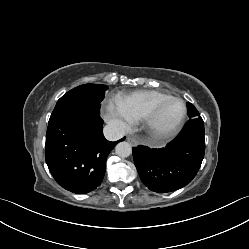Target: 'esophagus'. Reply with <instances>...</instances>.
Masks as SVG:
<instances>
[{
  "instance_id": "1",
  "label": "esophagus",
  "mask_w": 249,
  "mask_h": 249,
  "mask_svg": "<svg viewBox=\"0 0 249 249\" xmlns=\"http://www.w3.org/2000/svg\"><path fill=\"white\" fill-rule=\"evenodd\" d=\"M130 144H132L133 146H137L138 145V141L132 137H127L126 139Z\"/></svg>"
}]
</instances>
